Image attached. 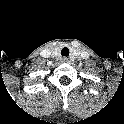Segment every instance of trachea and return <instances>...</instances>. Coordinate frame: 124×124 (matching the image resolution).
<instances>
[{
    "label": "trachea",
    "mask_w": 124,
    "mask_h": 124,
    "mask_svg": "<svg viewBox=\"0 0 124 124\" xmlns=\"http://www.w3.org/2000/svg\"><path fill=\"white\" fill-rule=\"evenodd\" d=\"M61 55L62 56H65V57H68L69 56V49L67 47H64L62 50H61Z\"/></svg>",
    "instance_id": "obj_1"
}]
</instances>
